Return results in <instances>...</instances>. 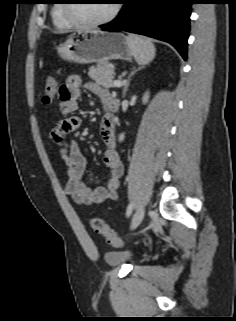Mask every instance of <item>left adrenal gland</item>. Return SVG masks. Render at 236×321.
Instances as JSON below:
<instances>
[{
  "instance_id": "obj_1",
  "label": "left adrenal gland",
  "mask_w": 236,
  "mask_h": 321,
  "mask_svg": "<svg viewBox=\"0 0 236 321\" xmlns=\"http://www.w3.org/2000/svg\"><path fill=\"white\" fill-rule=\"evenodd\" d=\"M142 69V67H139V68H133V71L131 72V74L129 75V77H128V80H127V83L125 84V86H124V88H123V97H125V95H126V91H127V89H128V87H129V85H130V80H131V77L132 76H134L135 75V73L137 72V71H140Z\"/></svg>"
}]
</instances>
